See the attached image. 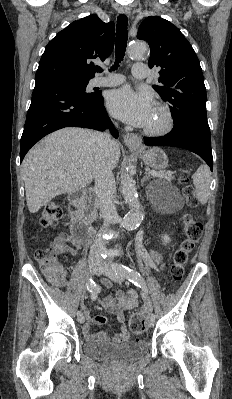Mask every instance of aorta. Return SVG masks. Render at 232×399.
<instances>
[{
  "label": "aorta",
  "instance_id": "1",
  "mask_svg": "<svg viewBox=\"0 0 232 399\" xmlns=\"http://www.w3.org/2000/svg\"><path fill=\"white\" fill-rule=\"evenodd\" d=\"M148 46L145 42L136 41L129 46L128 54L135 58L141 59ZM122 195L128 202L130 211L124 216L122 225L125 229L131 231L135 230L143 220V213L138 199L136 190V183L129 171H126L121 176Z\"/></svg>",
  "mask_w": 232,
  "mask_h": 399
}]
</instances>
